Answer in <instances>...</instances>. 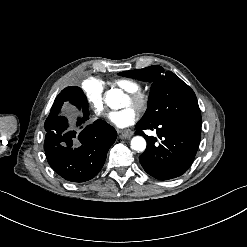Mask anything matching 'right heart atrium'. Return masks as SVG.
<instances>
[{
    "instance_id": "obj_1",
    "label": "right heart atrium",
    "mask_w": 247,
    "mask_h": 247,
    "mask_svg": "<svg viewBox=\"0 0 247 247\" xmlns=\"http://www.w3.org/2000/svg\"><path fill=\"white\" fill-rule=\"evenodd\" d=\"M82 91L90 103L91 110L94 113H99L102 110L106 86L97 78H88L82 84Z\"/></svg>"
}]
</instances>
